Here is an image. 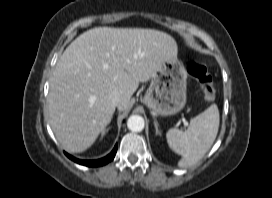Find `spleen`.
<instances>
[{
	"label": "spleen",
	"instance_id": "obj_1",
	"mask_svg": "<svg viewBox=\"0 0 272 198\" xmlns=\"http://www.w3.org/2000/svg\"><path fill=\"white\" fill-rule=\"evenodd\" d=\"M219 120L218 107L212 104L190 121L187 130H168L166 139L169 147L182 157L179 167L192 166L204 157L216 139Z\"/></svg>",
	"mask_w": 272,
	"mask_h": 198
}]
</instances>
